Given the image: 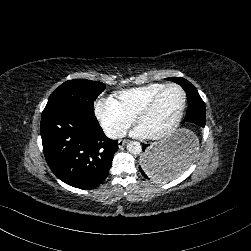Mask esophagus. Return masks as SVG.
I'll use <instances>...</instances> for the list:
<instances>
[{
	"mask_svg": "<svg viewBox=\"0 0 251 251\" xmlns=\"http://www.w3.org/2000/svg\"><path fill=\"white\" fill-rule=\"evenodd\" d=\"M125 143H126V140H123V139L118 140V147L122 148L125 145Z\"/></svg>",
	"mask_w": 251,
	"mask_h": 251,
	"instance_id": "1",
	"label": "esophagus"
}]
</instances>
